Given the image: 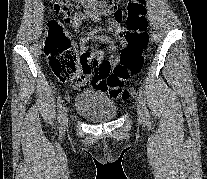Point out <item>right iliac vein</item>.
<instances>
[{"instance_id": "63e3f726", "label": "right iliac vein", "mask_w": 207, "mask_h": 179, "mask_svg": "<svg viewBox=\"0 0 207 179\" xmlns=\"http://www.w3.org/2000/svg\"><path fill=\"white\" fill-rule=\"evenodd\" d=\"M67 120H68V110L66 107H64L62 109V115H61V120H60L61 129H64L66 127Z\"/></svg>"}]
</instances>
